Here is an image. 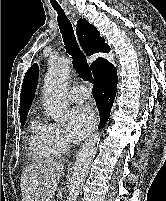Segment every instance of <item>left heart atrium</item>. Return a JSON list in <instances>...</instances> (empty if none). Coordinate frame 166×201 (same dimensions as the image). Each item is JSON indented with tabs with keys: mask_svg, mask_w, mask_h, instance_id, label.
Masks as SVG:
<instances>
[{
	"mask_svg": "<svg viewBox=\"0 0 166 201\" xmlns=\"http://www.w3.org/2000/svg\"><path fill=\"white\" fill-rule=\"evenodd\" d=\"M96 123V114L86 105H79L70 111L69 130L75 142L81 141Z\"/></svg>",
	"mask_w": 166,
	"mask_h": 201,
	"instance_id": "obj_1",
	"label": "left heart atrium"
}]
</instances>
